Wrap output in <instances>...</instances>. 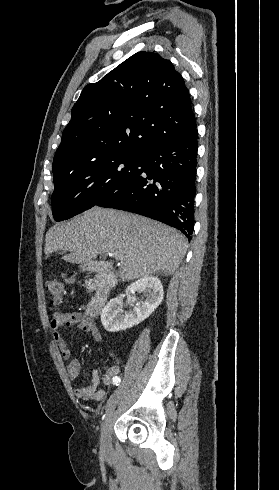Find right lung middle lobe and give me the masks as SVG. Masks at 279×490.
Instances as JSON below:
<instances>
[{"label":"right lung middle lobe","instance_id":"obj_1","mask_svg":"<svg viewBox=\"0 0 279 490\" xmlns=\"http://www.w3.org/2000/svg\"><path fill=\"white\" fill-rule=\"evenodd\" d=\"M141 166L140 156L112 152L54 177V219L63 221L96 206L138 177L143 171Z\"/></svg>","mask_w":279,"mask_h":490}]
</instances>
